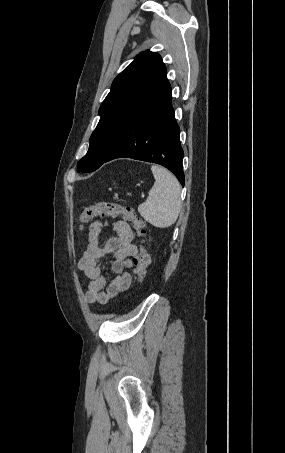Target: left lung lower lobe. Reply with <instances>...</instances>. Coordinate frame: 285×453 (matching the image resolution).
<instances>
[{
  "instance_id": "1",
  "label": "left lung lower lobe",
  "mask_w": 285,
  "mask_h": 453,
  "mask_svg": "<svg viewBox=\"0 0 285 453\" xmlns=\"http://www.w3.org/2000/svg\"><path fill=\"white\" fill-rule=\"evenodd\" d=\"M180 129L172 107L167 80L155 98L133 120L106 157L105 162L128 157L168 168L184 186Z\"/></svg>"
}]
</instances>
